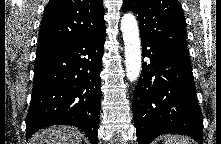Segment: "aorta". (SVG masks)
I'll return each mask as SVG.
<instances>
[{
    "mask_svg": "<svg viewBox=\"0 0 221 144\" xmlns=\"http://www.w3.org/2000/svg\"><path fill=\"white\" fill-rule=\"evenodd\" d=\"M121 31L125 45L126 75L135 81L141 70V43L137 21L132 14H125L121 20Z\"/></svg>",
    "mask_w": 221,
    "mask_h": 144,
    "instance_id": "1",
    "label": "aorta"
}]
</instances>
